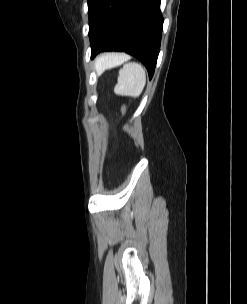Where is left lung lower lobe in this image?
<instances>
[{
    "label": "left lung lower lobe",
    "mask_w": 247,
    "mask_h": 304,
    "mask_svg": "<svg viewBox=\"0 0 247 304\" xmlns=\"http://www.w3.org/2000/svg\"><path fill=\"white\" fill-rule=\"evenodd\" d=\"M161 0H102L89 21L91 58L124 51L138 58L151 79L162 36Z\"/></svg>",
    "instance_id": "left-lung-lower-lobe-1"
}]
</instances>
